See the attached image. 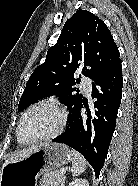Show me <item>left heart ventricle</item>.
<instances>
[{
  "instance_id": "obj_1",
  "label": "left heart ventricle",
  "mask_w": 138,
  "mask_h": 186,
  "mask_svg": "<svg viewBox=\"0 0 138 186\" xmlns=\"http://www.w3.org/2000/svg\"><path fill=\"white\" fill-rule=\"evenodd\" d=\"M60 113L51 107H40L31 111L21 126V136L32 140L50 134L60 124Z\"/></svg>"
}]
</instances>
